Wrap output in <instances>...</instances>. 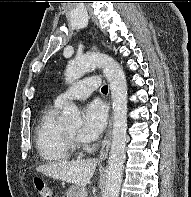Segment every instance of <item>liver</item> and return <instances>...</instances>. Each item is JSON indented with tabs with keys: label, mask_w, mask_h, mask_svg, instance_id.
Listing matches in <instances>:
<instances>
[{
	"label": "liver",
	"mask_w": 191,
	"mask_h": 197,
	"mask_svg": "<svg viewBox=\"0 0 191 197\" xmlns=\"http://www.w3.org/2000/svg\"><path fill=\"white\" fill-rule=\"evenodd\" d=\"M96 166L97 160L89 158L41 165L36 170L52 178L85 188L92 178Z\"/></svg>",
	"instance_id": "6515ba94"
}]
</instances>
